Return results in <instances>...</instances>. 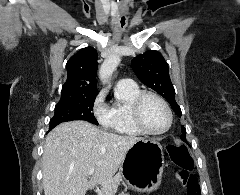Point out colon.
<instances>
[{
    "mask_svg": "<svg viewBox=\"0 0 240 195\" xmlns=\"http://www.w3.org/2000/svg\"><path fill=\"white\" fill-rule=\"evenodd\" d=\"M170 158L181 169V184L186 189V195H201V185L197 176L188 173L193 166V158L185 146H172L168 150Z\"/></svg>",
    "mask_w": 240,
    "mask_h": 195,
    "instance_id": "colon-1",
    "label": "colon"
}]
</instances>
